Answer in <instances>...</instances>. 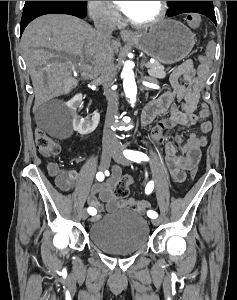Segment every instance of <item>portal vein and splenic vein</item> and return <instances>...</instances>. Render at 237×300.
Masks as SVG:
<instances>
[{
	"label": "portal vein and splenic vein",
	"instance_id": "portal-vein-and-splenic-vein-1",
	"mask_svg": "<svg viewBox=\"0 0 237 300\" xmlns=\"http://www.w3.org/2000/svg\"><path fill=\"white\" fill-rule=\"evenodd\" d=\"M145 64H146V68L148 69L153 68V65H150L148 62H146Z\"/></svg>",
	"mask_w": 237,
	"mask_h": 300
}]
</instances>
